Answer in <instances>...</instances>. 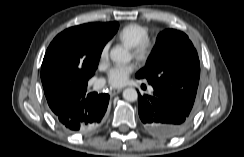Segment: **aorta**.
I'll return each mask as SVG.
<instances>
[{
	"label": "aorta",
	"mask_w": 244,
	"mask_h": 157,
	"mask_svg": "<svg viewBox=\"0 0 244 157\" xmlns=\"http://www.w3.org/2000/svg\"><path fill=\"white\" fill-rule=\"evenodd\" d=\"M110 57L113 61L120 63H127L131 60L129 51L120 46H116L111 49ZM123 98L129 102H134L138 98V93L134 88H126L123 91Z\"/></svg>",
	"instance_id": "1"
}]
</instances>
